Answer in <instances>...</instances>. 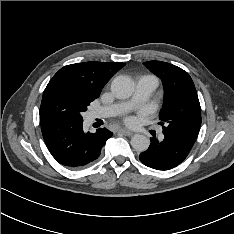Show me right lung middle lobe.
Instances as JSON below:
<instances>
[{
  "mask_svg": "<svg viewBox=\"0 0 234 234\" xmlns=\"http://www.w3.org/2000/svg\"><path fill=\"white\" fill-rule=\"evenodd\" d=\"M94 98L71 91L64 86L48 84L40 106V125L55 120H82V112Z\"/></svg>",
  "mask_w": 234,
  "mask_h": 234,
  "instance_id": "obj_1",
  "label": "right lung middle lobe"
}]
</instances>
